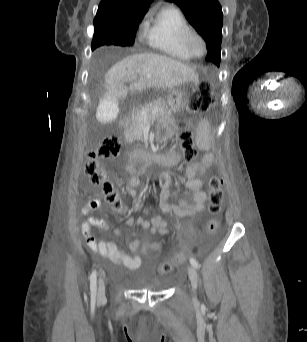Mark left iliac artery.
<instances>
[{"mask_svg":"<svg viewBox=\"0 0 307 342\" xmlns=\"http://www.w3.org/2000/svg\"><path fill=\"white\" fill-rule=\"evenodd\" d=\"M190 263H191V265H192L193 267H195L196 269H199V268H200V265H199V263L197 262L196 259L190 258Z\"/></svg>","mask_w":307,"mask_h":342,"instance_id":"1","label":"left iliac artery"}]
</instances>
